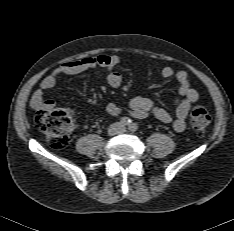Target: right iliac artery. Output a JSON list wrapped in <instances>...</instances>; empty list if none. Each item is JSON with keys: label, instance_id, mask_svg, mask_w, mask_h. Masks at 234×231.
<instances>
[{"label": "right iliac artery", "instance_id": "82829eb1", "mask_svg": "<svg viewBox=\"0 0 234 231\" xmlns=\"http://www.w3.org/2000/svg\"><path fill=\"white\" fill-rule=\"evenodd\" d=\"M131 122H132L131 119H129L128 117H122L121 120H120V123H121L123 126L130 125Z\"/></svg>", "mask_w": 234, "mask_h": 231}]
</instances>
